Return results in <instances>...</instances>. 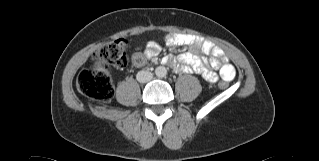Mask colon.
I'll use <instances>...</instances> for the list:
<instances>
[{"instance_id": "1", "label": "colon", "mask_w": 319, "mask_h": 161, "mask_svg": "<svg viewBox=\"0 0 319 161\" xmlns=\"http://www.w3.org/2000/svg\"><path fill=\"white\" fill-rule=\"evenodd\" d=\"M98 56L100 60L82 70L76 83L80 93L98 101H108L114 95V83L108 64L117 68H138L145 62L144 53L141 51L128 54V41L125 38L106 43L99 49ZM225 86V82H219L220 88Z\"/></svg>"}]
</instances>
